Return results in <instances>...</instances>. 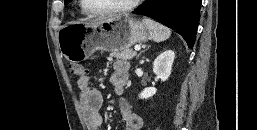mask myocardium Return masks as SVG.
<instances>
[{"label": "myocardium", "mask_w": 257, "mask_h": 130, "mask_svg": "<svg viewBox=\"0 0 257 130\" xmlns=\"http://www.w3.org/2000/svg\"><path fill=\"white\" fill-rule=\"evenodd\" d=\"M141 0H131L130 2H128L125 5L119 6V7H115V8H111L108 10H103V11H96L93 10L89 7L87 0H81V5L84 9V11L92 16H107V15H113V14H118V13H125L128 11L133 10L135 7L138 6V4L140 3Z\"/></svg>", "instance_id": "1"}]
</instances>
